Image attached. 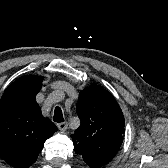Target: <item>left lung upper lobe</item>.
Instances as JSON below:
<instances>
[{
	"label": "left lung upper lobe",
	"mask_w": 168,
	"mask_h": 168,
	"mask_svg": "<svg viewBox=\"0 0 168 168\" xmlns=\"http://www.w3.org/2000/svg\"><path fill=\"white\" fill-rule=\"evenodd\" d=\"M76 111L81 124L71 136L74 150L91 168H100L123 142V113L115 98L94 84L80 92Z\"/></svg>",
	"instance_id": "5c2ea615"
}]
</instances>
